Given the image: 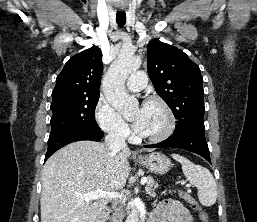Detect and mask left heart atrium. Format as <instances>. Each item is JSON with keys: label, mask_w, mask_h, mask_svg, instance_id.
I'll return each instance as SVG.
<instances>
[{"label": "left heart atrium", "mask_w": 257, "mask_h": 222, "mask_svg": "<svg viewBox=\"0 0 257 222\" xmlns=\"http://www.w3.org/2000/svg\"><path fill=\"white\" fill-rule=\"evenodd\" d=\"M134 130L142 134L144 131V106L139 109V113L133 123Z\"/></svg>", "instance_id": "1"}]
</instances>
